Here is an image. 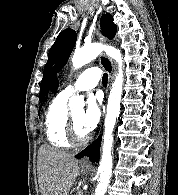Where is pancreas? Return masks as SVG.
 I'll return each mask as SVG.
<instances>
[{
	"label": "pancreas",
	"instance_id": "obj_1",
	"mask_svg": "<svg viewBox=\"0 0 178 195\" xmlns=\"http://www.w3.org/2000/svg\"><path fill=\"white\" fill-rule=\"evenodd\" d=\"M78 195H83V193L82 192H79Z\"/></svg>",
	"mask_w": 178,
	"mask_h": 195
}]
</instances>
